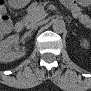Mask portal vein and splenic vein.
<instances>
[{
  "instance_id": "obj_1",
  "label": "portal vein and splenic vein",
  "mask_w": 91,
  "mask_h": 91,
  "mask_svg": "<svg viewBox=\"0 0 91 91\" xmlns=\"http://www.w3.org/2000/svg\"><path fill=\"white\" fill-rule=\"evenodd\" d=\"M73 17L77 18V16H76V15H73Z\"/></svg>"
}]
</instances>
